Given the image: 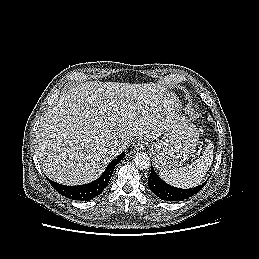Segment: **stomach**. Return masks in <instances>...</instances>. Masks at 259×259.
Wrapping results in <instances>:
<instances>
[{
    "label": "stomach",
    "instance_id": "0dacf381",
    "mask_svg": "<svg viewBox=\"0 0 259 259\" xmlns=\"http://www.w3.org/2000/svg\"><path fill=\"white\" fill-rule=\"evenodd\" d=\"M169 102V122L162 132V138L151 144L155 167L159 170L181 166L193 153L199 140L195 125L182 114L179 99L169 94Z\"/></svg>",
    "mask_w": 259,
    "mask_h": 259
}]
</instances>
